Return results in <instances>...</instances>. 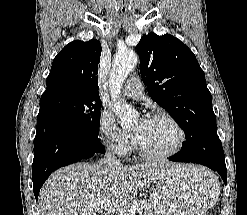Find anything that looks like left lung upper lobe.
<instances>
[{
    "instance_id": "obj_1",
    "label": "left lung upper lobe",
    "mask_w": 247,
    "mask_h": 215,
    "mask_svg": "<svg viewBox=\"0 0 247 215\" xmlns=\"http://www.w3.org/2000/svg\"><path fill=\"white\" fill-rule=\"evenodd\" d=\"M137 52L148 94L184 130L182 148H194L196 138L217 135L211 93L194 53L174 36L154 33L141 38Z\"/></svg>"
}]
</instances>
